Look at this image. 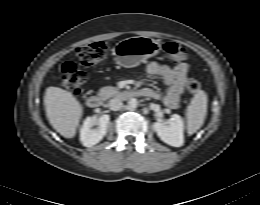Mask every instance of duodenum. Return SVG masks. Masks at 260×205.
<instances>
[{
    "label": "duodenum",
    "mask_w": 260,
    "mask_h": 205,
    "mask_svg": "<svg viewBox=\"0 0 260 205\" xmlns=\"http://www.w3.org/2000/svg\"><path fill=\"white\" fill-rule=\"evenodd\" d=\"M143 93L141 90H124L120 91L116 94V97L122 100H129L132 98H136L139 96H142ZM87 105L89 108L97 109L100 108L103 105V99L102 97L98 95H90L87 98Z\"/></svg>",
    "instance_id": "410a0bca"
}]
</instances>
